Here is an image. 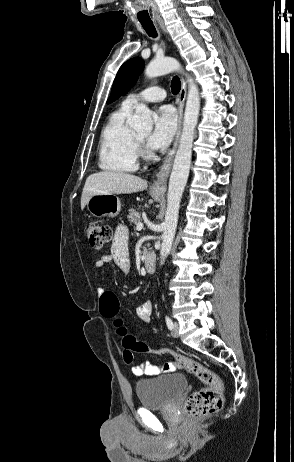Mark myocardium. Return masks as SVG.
<instances>
[{
	"label": "myocardium",
	"mask_w": 294,
	"mask_h": 462,
	"mask_svg": "<svg viewBox=\"0 0 294 462\" xmlns=\"http://www.w3.org/2000/svg\"><path fill=\"white\" fill-rule=\"evenodd\" d=\"M136 141H137L139 147H140V145H142V143H143V139L139 138L138 136H136Z\"/></svg>",
	"instance_id": "myocardium-1"
}]
</instances>
